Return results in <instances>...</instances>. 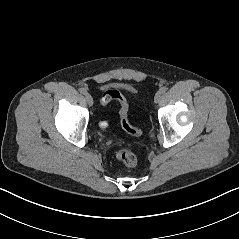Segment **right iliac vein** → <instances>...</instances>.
Here are the masks:
<instances>
[{
  "label": "right iliac vein",
  "instance_id": "63e3f726",
  "mask_svg": "<svg viewBox=\"0 0 239 239\" xmlns=\"http://www.w3.org/2000/svg\"><path fill=\"white\" fill-rule=\"evenodd\" d=\"M85 99H86V102L89 106H92L93 105V98L90 94L86 93L85 94Z\"/></svg>",
  "mask_w": 239,
  "mask_h": 239
}]
</instances>
